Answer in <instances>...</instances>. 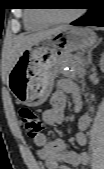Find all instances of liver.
<instances>
[{"label": "liver", "instance_id": "6515ba94", "mask_svg": "<svg viewBox=\"0 0 104 169\" xmlns=\"http://www.w3.org/2000/svg\"><path fill=\"white\" fill-rule=\"evenodd\" d=\"M68 26H58L55 28L39 31L36 33L31 34H22L19 35L14 43L12 54H11V60L10 64L11 67L14 66V64L17 62L20 55L28 48L40 43L42 40H44L46 37L57 33Z\"/></svg>", "mask_w": 104, "mask_h": 169}]
</instances>
